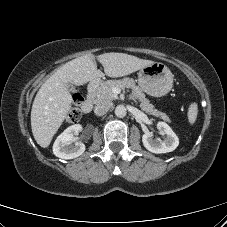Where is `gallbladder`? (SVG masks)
I'll use <instances>...</instances> for the list:
<instances>
[{
  "label": "gallbladder",
  "mask_w": 227,
  "mask_h": 227,
  "mask_svg": "<svg viewBox=\"0 0 227 227\" xmlns=\"http://www.w3.org/2000/svg\"><path fill=\"white\" fill-rule=\"evenodd\" d=\"M66 87H67L68 91H70V92H74L75 91V87L72 84H70V83H68L66 85Z\"/></svg>",
  "instance_id": "bac80fb5"
}]
</instances>
